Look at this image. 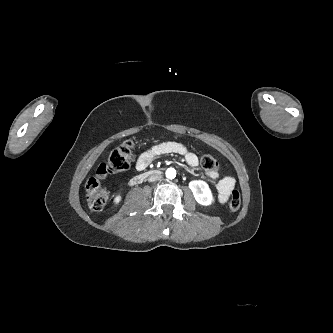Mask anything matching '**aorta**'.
Returning a JSON list of instances; mask_svg holds the SVG:
<instances>
[{
  "label": "aorta",
  "mask_w": 333,
  "mask_h": 333,
  "mask_svg": "<svg viewBox=\"0 0 333 333\" xmlns=\"http://www.w3.org/2000/svg\"><path fill=\"white\" fill-rule=\"evenodd\" d=\"M165 175L168 179H174L176 177V170L174 168H168Z\"/></svg>",
  "instance_id": "762f6f07"
}]
</instances>
